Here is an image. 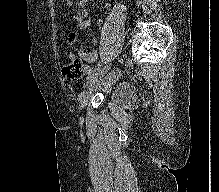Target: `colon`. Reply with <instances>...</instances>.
<instances>
[{
	"instance_id": "obj_1",
	"label": "colon",
	"mask_w": 219,
	"mask_h": 192,
	"mask_svg": "<svg viewBox=\"0 0 219 192\" xmlns=\"http://www.w3.org/2000/svg\"><path fill=\"white\" fill-rule=\"evenodd\" d=\"M74 39V35L70 34L67 38V43H71ZM84 72V65L76 58L68 55L65 58L64 65L62 67V75L68 80H77L82 77Z\"/></svg>"
}]
</instances>
